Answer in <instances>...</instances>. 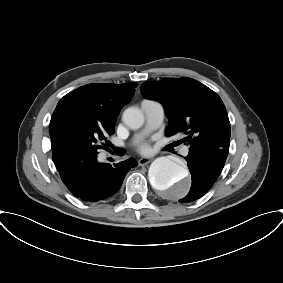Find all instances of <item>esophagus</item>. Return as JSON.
I'll list each match as a JSON object with an SVG mask.
<instances>
[{
  "instance_id": "obj_1",
  "label": "esophagus",
  "mask_w": 283,
  "mask_h": 283,
  "mask_svg": "<svg viewBox=\"0 0 283 283\" xmlns=\"http://www.w3.org/2000/svg\"><path fill=\"white\" fill-rule=\"evenodd\" d=\"M152 161V159H148V158H141L138 160V165L139 166H145L148 163H150Z\"/></svg>"
}]
</instances>
